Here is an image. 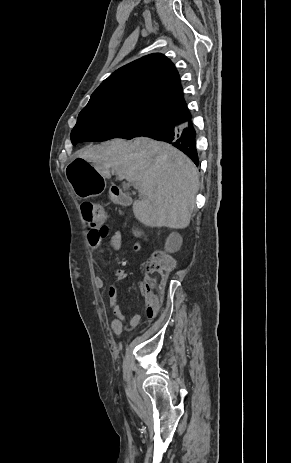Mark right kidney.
Here are the masks:
<instances>
[{
    "label": "right kidney",
    "mask_w": 291,
    "mask_h": 463,
    "mask_svg": "<svg viewBox=\"0 0 291 463\" xmlns=\"http://www.w3.org/2000/svg\"><path fill=\"white\" fill-rule=\"evenodd\" d=\"M183 239L178 233H171L167 238L165 248L168 252L177 251L182 245Z\"/></svg>",
    "instance_id": "obj_1"
}]
</instances>
